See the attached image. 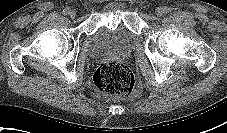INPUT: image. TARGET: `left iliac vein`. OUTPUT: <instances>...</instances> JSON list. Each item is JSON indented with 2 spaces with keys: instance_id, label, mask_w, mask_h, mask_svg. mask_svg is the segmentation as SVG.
I'll list each match as a JSON object with an SVG mask.
<instances>
[{
  "instance_id": "4c4485c4",
  "label": "left iliac vein",
  "mask_w": 227,
  "mask_h": 133,
  "mask_svg": "<svg viewBox=\"0 0 227 133\" xmlns=\"http://www.w3.org/2000/svg\"><path fill=\"white\" fill-rule=\"evenodd\" d=\"M155 13L157 16H161L165 13V10L163 7H157L156 10H155Z\"/></svg>"
}]
</instances>
